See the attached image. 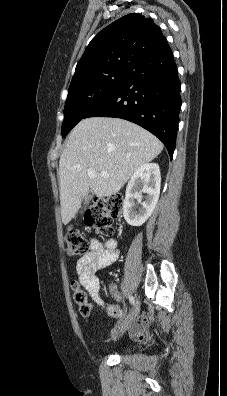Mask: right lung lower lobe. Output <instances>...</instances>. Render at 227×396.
<instances>
[{
	"label": "right lung lower lobe",
	"mask_w": 227,
	"mask_h": 396,
	"mask_svg": "<svg viewBox=\"0 0 227 396\" xmlns=\"http://www.w3.org/2000/svg\"><path fill=\"white\" fill-rule=\"evenodd\" d=\"M181 104L177 66L166 45L141 61L85 118L115 117L136 123L158 137L172 157Z\"/></svg>",
	"instance_id": "1"
}]
</instances>
